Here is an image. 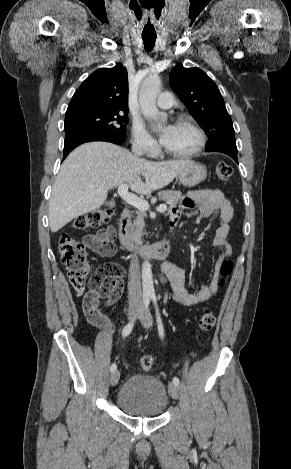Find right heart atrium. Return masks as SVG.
Returning a JSON list of instances; mask_svg holds the SVG:
<instances>
[{
  "label": "right heart atrium",
  "mask_w": 291,
  "mask_h": 469,
  "mask_svg": "<svg viewBox=\"0 0 291 469\" xmlns=\"http://www.w3.org/2000/svg\"><path fill=\"white\" fill-rule=\"evenodd\" d=\"M132 145L138 151L151 154L157 149V143L141 122H134L131 129Z\"/></svg>",
  "instance_id": "obj_1"
}]
</instances>
